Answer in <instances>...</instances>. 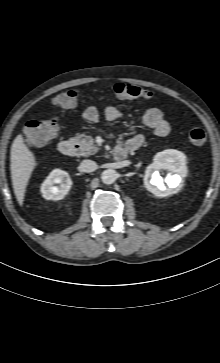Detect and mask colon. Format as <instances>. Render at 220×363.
<instances>
[{
    "label": "colon",
    "mask_w": 220,
    "mask_h": 363,
    "mask_svg": "<svg viewBox=\"0 0 220 363\" xmlns=\"http://www.w3.org/2000/svg\"><path fill=\"white\" fill-rule=\"evenodd\" d=\"M113 95L118 99H142L153 101L154 94L137 85L128 83H116L111 87ZM77 103V92L73 89H66L58 93L53 104L62 109L73 108ZM58 132V124L54 119H40L28 122L23 129L26 141L30 145H42L53 139ZM188 139L197 146L206 143L207 137L205 132L200 128H192L188 131Z\"/></svg>",
    "instance_id": "colon-1"
}]
</instances>
